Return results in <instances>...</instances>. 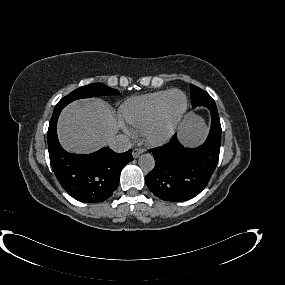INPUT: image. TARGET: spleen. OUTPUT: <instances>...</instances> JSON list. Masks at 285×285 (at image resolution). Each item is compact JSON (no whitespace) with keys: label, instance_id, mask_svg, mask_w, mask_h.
I'll list each match as a JSON object with an SVG mask.
<instances>
[{"label":"spleen","instance_id":"obj_1","mask_svg":"<svg viewBox=\"0 0 285 285\" xmlns=\"http://www.w3.org/2000/svg\"><path fill=\"white\" fill-rule=\"evenodd\" d=\"M199 121H200V122L203 124V121H202V119H200V118H199Z\"/></svg>","mask_w":285,"mask_h":285}]
</instances>
